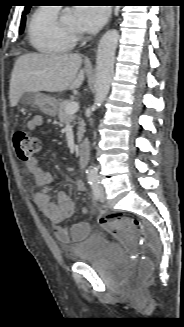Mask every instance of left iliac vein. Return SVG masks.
Segmentation results:
<instances>
[{
	"label": "left iliac vein",
	"instance_id": "obj_1",
	"mask_svg": "<svg viewBox=\"0 0 184 327\" xmlns=\"http://www.w3.org/2000/svg\"><path fill=\"white\" fill-rule=\"evenodd\" d=\"M99 200L101 202H104L106 200L105 191H104V188L101 185H99Z\"/></svg>",
	"mask_w": 184,
	"mask_h": 327
}]
</instances>
